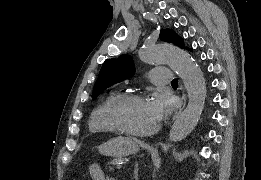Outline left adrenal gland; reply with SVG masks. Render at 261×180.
<instances>
[{"instance_id":"1","label":"left adrenal gland","mask_w":261,"mask_h":180,"mask_svg":"<svg viewBox=\"0 0 261 180\" xmlns=\"http://www.w3.org/2000/svg\"><path fill=\"white\" fill-rule=\"evenodd\" d=\"M138 162H135L134 180H138Z\"/></svg>"}]
</instances>
